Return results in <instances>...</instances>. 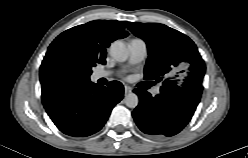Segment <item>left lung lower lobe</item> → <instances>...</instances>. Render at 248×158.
I'll return each mask as SVG.
<instances>
[{
	"instance_id": "left-lung-lower-lobe-1",
	"label": "left lung lower lobe",
	"mask_w": 248,
	"mask_h": 158,
	"mask_svg": "<svg viewBox=\"0 0 248 158\" xmlns=\"http://www.w3.org/2000/svg\"><path fill=\"white\" fill-rule=\"evenodd\" d=\"M140 102L132 112L140 128L149 135L173 136L191 120L200 101V95L185 91L161 93L152 97L144 90L135 89Z\"/></svg>"
}]
</instances>
